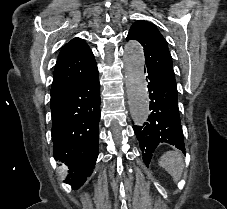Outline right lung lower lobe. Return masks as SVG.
I'll return each mask as SVG.
<instances>
[{
    "instance_id": "98d812e1",
    "label": "right lung lower lobe",
    "mask_w": 227,
    "mask_h": 209,
    "mask_svg": "<svg viewBox=\"0 0 227 209\" xmlns=\"http://www.w3.org/2000/svg\"><path fill=\"white\" fill-rule=\"evenodd\" d=\"M85 70L80 82L50 100L54 158L68 165L67 183L73 189L84 184L98 157L100 83L96 62L64 71L76 76Z\"/></svg>"
}]
</instances>
